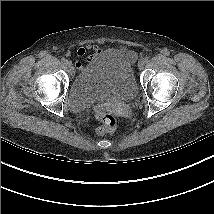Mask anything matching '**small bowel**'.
<instances>
[{
  "mask_svg": "<svg viewBox=\"0 0 214 214\" xmlns=\"http://www.w3.org/2000/svg\"><path fill=\"white\" fill-rule=\"evenodd\" d=\"M102 53V49L96 44H87L77 49L75 66L78 70L84 68L83 58L86 56L88 62H93Z\"/></svg>",
  "mask_w": 214,
  "mask_h": 214,
  "instance_id": "obj_1",
  "label": "small bowel"
}]
</instances>
